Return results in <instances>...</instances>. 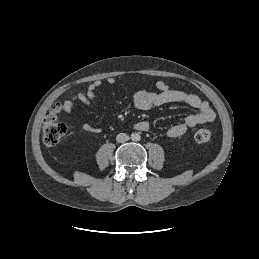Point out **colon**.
I'll list each match as a JSON object with an SVG mask.
<instances>
[{
    "mask_svg": "<svg viewBox=\"0 0 259 259\" xmlns=\"http://www.w3.org/2000/svg\"><path fill=\"white\" fill-rule=\"evenodd\" d=\"M63 107L56 103L51 106L43 122V141L47 146L56 145L68 132V125L61 120ZM212 133L207 128L198 129L194 135L198 143L211 139Z\"/></svg>",
    "mask_w": 259,
    "mask_h": 259,
    "instance_id": "colon-1",
    "label": "colon"
}]
</instances>
